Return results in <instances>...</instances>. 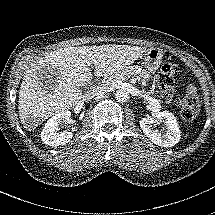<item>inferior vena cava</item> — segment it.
<instances>
[{"instance_id":"602c4592","label":"inferior vena cava","mask_w":215,"mask_h":215,"mask_svg":"<svg viewBox=\"0 0 215 215\" xmlns=\"http://www.w3.org/2000/svg\"><path fill=\"white\" fill-rule=\"evenodd\" d=\"M105 91V88H101V87H96L90 91H87L83 94V98L85 100H89V99H95V98H98V97H101L103 95Z\"/></svg>"}]
</instances>
